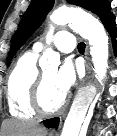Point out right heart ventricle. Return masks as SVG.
Instances as JSON below:
<instances>
[{
    "label": "right heart ventricle",
    "instance_id": "right-heart-ventricle-1",
    "mask_svg": "<svg viewBox=\"0 0 117 136\" xmlns=\"http://www.w3.org/2000/svg\"><path fill=\"white\" fill-rule=\"evenodd\" d=\"M37 52L24 53L12 69L6 85L8 110L17 118L31 119L36 113L31 106V95L39 75Z\"/></svg>",
    "mask_w": 117,
    "mask_h": 136
}]
</instances>
